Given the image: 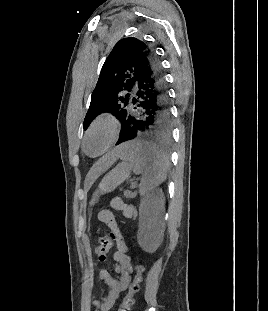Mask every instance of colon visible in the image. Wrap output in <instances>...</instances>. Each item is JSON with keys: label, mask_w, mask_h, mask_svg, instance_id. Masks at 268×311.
<instances>
[{"label": "colon", "mask_w": 268, "mask_h": 311, "mask_svg": "<svg viewBox=\"0 0 268 311\" xmlns=\"http://www.w3.org/2000/svg\"><path fill=\"white\" fill-rule=\"evenodd\" d=\"M113 241H114L113 233L103 235L98 239L95 252L99 261H104L106 259L107 254L112 248ZM142 272L143 267L141 265H137L135 276L128 287V292L124 297V299L122 300V303L120 304L118 311L131 310V307L134 303V296L140 289V283L142 281Z\"/></svg>", "instance_id": "1"}]
</instances>
